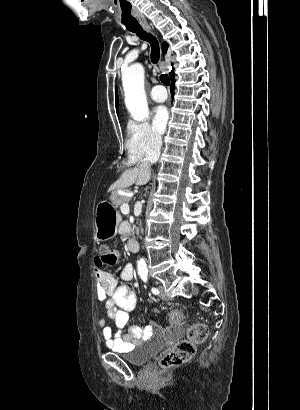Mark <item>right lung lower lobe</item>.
I'll list each match as a JSON object with an SVG mask.
<instances>
[{"label": "right lung lower lobe", "instance_id": "right-lung-lower-lobe-1", "mask_svg": "<svg viewBox=\"0 0 300 410\" xmlns=\"http://www.w3.org/2000/svg\"><path fill=\"white\" fill-rule=\"evenodd\" d=\"M171 81H172L171 95L173 96L174 95V88H175V86H174V83H175L174 75L171 77Z\"/></svg>", "mask_w": 300, "mask_h": 410}]
</instances>
